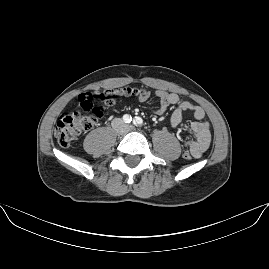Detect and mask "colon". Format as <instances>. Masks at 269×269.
Masks as SVG:
<instances>
[{
    "mask_svg": "<svg viewBox=\"0 0 269 269\" xmlns=\"http://www.w3.org/2000/svg\"><path fill=\"white\" fill-rule=\"evenodd\" d=\"M92 92L86 90L80 95V105L84 106L83 113H66L62 115L55 126V136L62 145H71L82 133L95 128L100 118L98 104L94 106V101H90L89 96ZM145 91L136 86H125L118 90H107L101 94L106 105H112L118 99L127 100L129 97L143 95ZM95 99L100 97L98 92L93 94ZM185 160H190L192 155L188 151L182 152Z\"/></svg>",
    "mask_w": 269,
    "mask_h": 269,
    "instance_id": "1",
    "label": "colon"
}]
</instances>
